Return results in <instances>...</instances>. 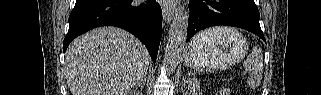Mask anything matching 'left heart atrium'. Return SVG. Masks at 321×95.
Listing matches in <instances>:
<instances>
[{"instance_id":"1","label":"left heart atrium","mask_w":321,"mask_h":95,"mask_svg":"<svg viewBox=\"0 0 321 95\" xmlns=\"http://www.w3.org/2000/svg\"><path fill=\"white\" fill-rule=\"evenodd\" d=\"M165 3H174L175 1L173 0H167V1H164Z\"/></svg>"}]
</instances>
